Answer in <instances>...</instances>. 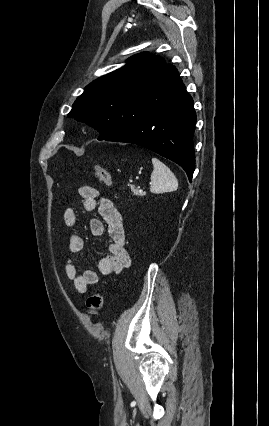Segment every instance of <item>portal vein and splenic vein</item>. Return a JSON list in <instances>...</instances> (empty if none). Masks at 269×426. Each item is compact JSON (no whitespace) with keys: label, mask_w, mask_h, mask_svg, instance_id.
Returning <instances> with one entry per match:
<instances>
[{"label":"portal vein and splenic vein","mask_w":269,"mask_h":426,"mask_svg":"<svg viewBox=\"0 0 269 426\" xmlns=\"http://www.w3.org/2000/svg\"><path fill=\"white\" fill-rule=\"evenodd\" d=\"M139 192H140V193H143V190H142V189H140V190H139Z\"/></svg>","instance_id":"18ae733b"}]
</instances>
